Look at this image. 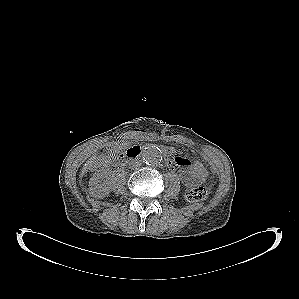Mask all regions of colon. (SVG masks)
<instances>
[{
	"label": "colon",
	"instance_id": "colon-1",
	"mask_svg": "<svg viewBox=\"0 0 299 299\" xmlns=\"http://www.w3.org/2000/svg\"><path fill=\"white\" fill-rule=\"evenodd\" d=\"M191 170L196 183L204 181L208 176L206 167L200 162H194L191 165ZM207 190L203 186L190 188L185 193V198L190 203H198L205 200Z\"/></svg>",
	"mask_w": 299,
	"mask_h": 299
}]
</instances>
